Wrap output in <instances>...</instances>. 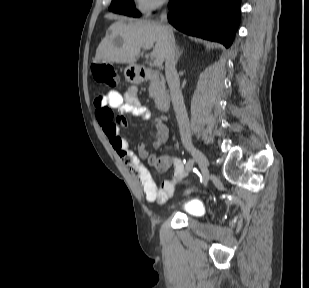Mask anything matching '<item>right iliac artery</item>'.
<instances>
[{
  "label": "right iliac artery",
  "mask_w": 309,
  "mask_h": 288,
  "mask_svg": "<svg viewBox=\"0 0 309 288\" xmlns=\"http://www.w3.org/2000/svg\"><path fill=\"white\" fill-rule=\"evenodd\" d=\"M195 165L197 166V168H202L203 167V164L201 163V161L200 160H197L196 162H195ZM193 188V187H192ZM188 191V190H187ZM190 191V190H189ZM183 195H185V194H183Z\"/></svg>",
  "instance_id": "82829eb1"
}]
</instances>
